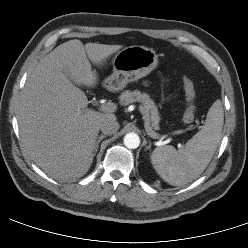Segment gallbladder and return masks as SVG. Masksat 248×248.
<instances>
[{
	"mask_svg": "<svg viewBox=\"0 0 248 248\" xmlns=\"http://www.w3.org/2000/svg\"><path fill=\"white\" fill-rule=\"evenodd\" d=\"M68 78H69L71 81H73L74 83L80 84V83H78L77 81L73 80L70 76H68Z\"/></svg>",
	"mask_w": 248,
	"mask_h": 248,
	"instance_id": "bac80fb5",
	"label": "gallbladder"
}]
</instances>
